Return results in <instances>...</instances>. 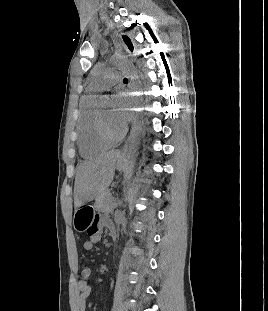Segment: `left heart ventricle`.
Returning <instances> with one entry per match:
<instances>
[{
	"label": "left heart ventricle",
	"instance_id": "b2bd125f",
	"mask_svg": "<svg viewBox=\"0 0 268 311\" xmlns=\"http://www.w3.org/2000/svg\"><path fill=\"white\" fill-rule=\"evenodd\" d=\"M100 110L104 116L105 122L109 130L113 133L119 132L122 125L116 120L112 106L106 105L103 106Z\"/></svg>",
	"mask_w": 268,
	"mask_h": 311
}]
</instances>
